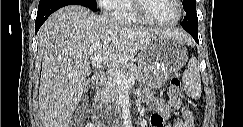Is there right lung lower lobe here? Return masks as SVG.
<instances>
[{
	"mask_svg": "<svg viewBox=\"0 0 243 127\" xmlns=\"http://www.w3.org/2000/svg\"><path fill=\"white\" fill-rule=\"evenodd\" d=\"M67 5H81L85 6L81 0H48L47 2L40 4L38 7V13L35 21V33L38 32L41 25L46 19L56 10ZM86 7V6H85Z\"/></svg>",
	"mask_w": 243,
	"mask_h": 127,
	"instance_id": "right-lung-lower-lobe-1",
	"label": "right lung lower lobe"
}]
</instances>
